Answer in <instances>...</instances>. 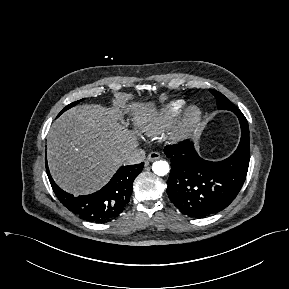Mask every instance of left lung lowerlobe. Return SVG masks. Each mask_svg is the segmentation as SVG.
Returning a JSON list of instances; mask_svg holds the SVG:
<instances>
[{"mask_svg": "<svg viewBox=\"0 0 289 289\" xmlns=\"http://www.w3.org/2000/svg\"><path fill=\"white\" fill-rule=\"evenodd\" d=\"M235 114L241 126V140L236 151L223 161L203 160L190 141L164 149L171 160L167 194L188 216L204 218L223 210L243 186L250 160L249 127L242 112Z\"/></svg>", "mask_w": 289, "mask_h": 289, "instance_id": "1", "label": "left lung lower lobe"}]
</instances>
